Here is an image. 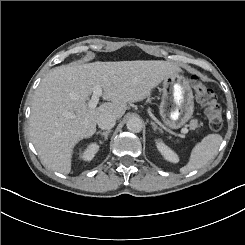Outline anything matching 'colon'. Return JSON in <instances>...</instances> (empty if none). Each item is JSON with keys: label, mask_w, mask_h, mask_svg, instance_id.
I'll use <instances>...</instances> for the list:
<instances>
[{"label": "colon", "mask_w": 245, "mask_h": 245, "mask_svg": "<svg viewBox=\"0 0 245 245\" xmlns=\"http://www.w3.org/2000/svg\"><path fill=\"white\" fill-rule=\"evenodd\" d=\"M192 84L198 101L204 107L210 128L220 129L223 125V115L214 91L202 83L198 77H193Z\"/></svg>", "instance_id": "1"}]
</instances>
